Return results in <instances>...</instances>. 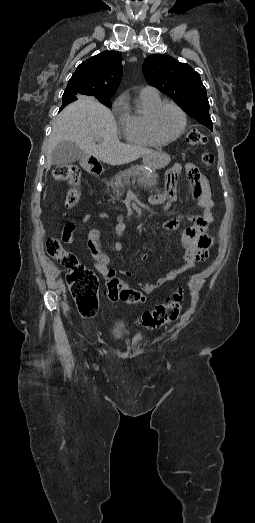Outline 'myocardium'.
Here are the masks:
<instances>
[{
	"label": "myocardium",
	"mask_w": 255,
	"mask_h": 523,
	"mask_svg": "<svg viewBox=\"0 0 255 523\" xmlns=\"http://www.w3.org/2000/svg\"><path fill=\"white\" fill-rule=\"evenodd\" d=\"M166 106H171V107L175 108L179 112V114L181 116V119H182V125H181V128H180L179 132L175 136H173L171 138H168V139L161 138L160 136H158L156 131H155V128H154V119H155L157 113L163 107H166ZM186 125H187L186 113L184 112V110L179 105H177L176 103H173V102H160V103H158L156 106H154L150 110V112L148 114V117H147V129L149 131L150 136L153 139H155L158 143H162V144H168V143L174 142L178 138H180L182 136V134L184 133L185 129H186Z\"/></svg>",
	"instance_id": "1"
}]
</instances>
